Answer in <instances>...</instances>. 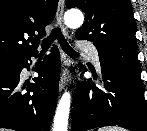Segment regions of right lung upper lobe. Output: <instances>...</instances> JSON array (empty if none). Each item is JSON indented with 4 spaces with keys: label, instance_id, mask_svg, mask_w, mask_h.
I'll return each instance as SVG.
<instances>
[{
    "label": "right lung upper lobe",
    "instance_id": "1",
    "mask_svg": "<svg viewBox=\"0 0 147 131\" xmlns=\"http://www.w3.org/2000/svg\"><path fill=\"white\" fill-rule=\"evenodd\" d=\"M58 0H0V60L37 53Z\"/></svg>",
    "mask_w": 147,
    "mask_h": 131
}]
</instances>
